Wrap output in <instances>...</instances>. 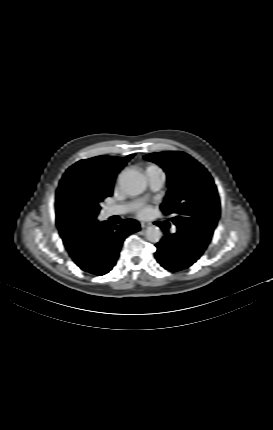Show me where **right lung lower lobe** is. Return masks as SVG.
<instances>
[{"mask_svg": "<svg viewBox=\"0 0 273 430\" xmlns=\"http://www.w3.org/2000/svg\"><path fill=\"white\" fill-rule=\"evenodd\" d=\"M139 229V223L132 219L119 227L95 220L82 232L81 243L68 252L83 271L101 276L116 264L125 238Z\"/></svg>", "mask_w": 273, "mask_h": 430, "instance_id": "obj_1", "label": "right lung lower lobe"}]
</instances>
